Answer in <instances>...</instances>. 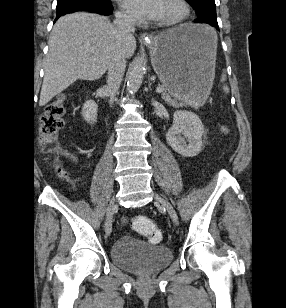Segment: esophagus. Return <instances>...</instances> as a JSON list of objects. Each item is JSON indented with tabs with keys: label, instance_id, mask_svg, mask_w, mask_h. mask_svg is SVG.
<instances>
[{
	"label": "esophagus",
	"instance_id": "1",
	"mask_svg": "<svg viewBox=\"0 0 286 308\" xmlns=\"http://www.w3.org/2000/svg\"><path fill=\"white\" fill-rule=\"evenodd\" d=\"M151 38H152V36L148 33L142 34L141 37H140V39L142 41H147V40H150Z\"/></svg>",
	"mask_w": 286,
	"mask_h": 308
}]
</instances>
